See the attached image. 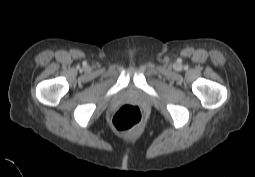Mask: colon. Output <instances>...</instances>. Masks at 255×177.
Masks as SVG:
<instances>
[{"mask_svg":"<svg viewBox=\"0 0 255 177\" xmlns=\"http://www.w3.org/2000/svg\"><path fill=\"white\" fill-rule=\"evenodd\" d=\"M142 121V114L136 105H123L113 116L112 124L118 131H129Z\"/></svg>","mask_w":255,"mask_h":177,"instance_id":"5ec220e1","label":"colon"}]
</instances>
